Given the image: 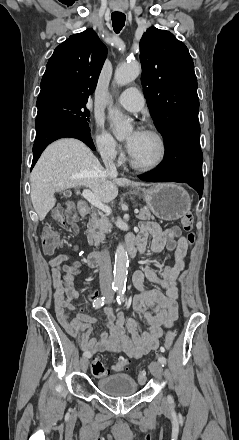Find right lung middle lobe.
Wrapping results in <instances>:
<instances>
[{"mask_svg":"<svg viewBox=\"0 0 239 440\" xmlns=\"http://www.w3.org/2000/svg\"><path fill=\"white\" fill-rule=\"evenodd\" d=\"M87 100L85 98L57 96L37 102L36 124L45 120L56 119L90 129L88 126L90 113L85 107Z\"/></svg>","mask_w":239,"mask_h":440,"instance_id":"1","label":"right lung middle lobe"}]
</instances>
